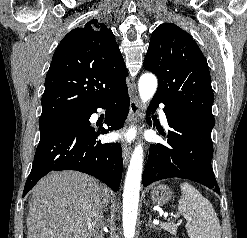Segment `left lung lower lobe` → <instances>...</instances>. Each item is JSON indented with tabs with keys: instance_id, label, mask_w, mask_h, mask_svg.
Here are the masks:
<instances>
[{
	"instance_id": "left-lung-lower-lobe-1",
	"label": "left lung lower lobe",
	"mask_w": 247,
	"mask_h": 238,
	"mask_svg": "<svg viewBox=\"0 0 247 238\" xmlns=\"http://www.w3.org/2000/svg\"><path fill=\"white\" fill-rule=\"evenodd\" d=\"M159 103H162L161 100L153 97L151 110L155 111ZM164 112L171 128L167 135L168 146H150L148 162L142 177L143 186L161 179L178 177L203 184L220 194L211 166L212 129L186 115L166 108Z\"/></svg>"
}]
</instances>
